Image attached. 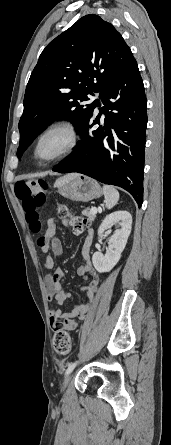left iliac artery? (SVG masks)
<instances>
[{
	"label": "left iliac artery",
	"instance_id": "obj_1",
	"mask_svg": "<svg viewBox=\"0 0 171 445\" xmlns=\"http://www.w3.org/2000/svg\"><path fill=\"white\" fill-rule=\"evenodd\" d=\"M76 365H77V362L70 363V364L68 365L67 370H66V374H68L69 372H71V371L75 368Z\"/></svg>",
	"mask_w": 171,
	"mask_h": 445
}]
</instances>
